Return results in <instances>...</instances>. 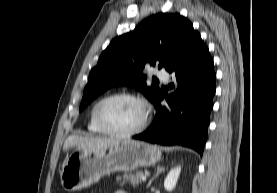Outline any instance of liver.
Returning <instances> with one entry per match:
<instances>
[{
  "mask_svg": "<svg viewBox=\"0 0 277 193\" xmlns=\"http://www.w3.org/2000/svg\"><path fill=\"white\" fill-rule=\"evenodd\" d=\"M120 142L119 139L95 137V136H69L63 145V151H67L72 147L90 148V149H104L113 146Z\"/></svg>",
  "mask_w": 277,
  "mask_h": 193,
  "instance_id": "obj_1",
  "label": "liver"
}]
</instances>
